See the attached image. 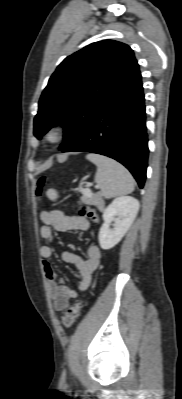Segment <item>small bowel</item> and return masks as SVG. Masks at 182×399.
<instances>
[{"label":"small bowel","instance_id":"obj_1","mask_svg":"<svg viewBox=\"0 0 182 399\" xmlns=\"http://www.w3.org/2000/svg\"><path fill=\"white\" fill-rule=\"evenodd\" d=\"M40 219L42 225L39 228V236L49 243L55 241L54 230L57 232L87 231L90 227V223L86 218L67 215L61 209L57 208L41 212ZM85 252V259L69 251H65L61 255L64 262L75 265L77 276L80 279V291L88 287L101 259L100 250L94 244L87 245ZM39 253L42 257V267L46 278L48 296L52 300L55 309L63 311L70 305L71 299L77 296V291L60 280L53 264L50 262L53 256L52 247L43 245L40 247Z\"/></svg>","mask_w":182,"mask_h":399}]
</instances>
